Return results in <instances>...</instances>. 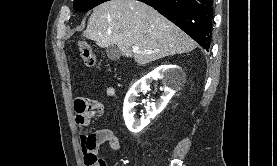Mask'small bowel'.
<instances>
[{"label":"small bowel","mask_w":277,"mask_h":166,"mask_svg":"<svg viewBox=\"0 0 277 166\" xmlns=\"http://www.w3.org/2000/svg\"><path fill=\"white\" fill-rule=\"evenodd\" d=\"M109 96H115L113 88L107 89ZM75 120L80 127H86L90 120V115L97 118L104 116V106L101 101L95 97H78L74 102ZM81 150L86 165L95 166L91 162L92 157H97V151L101 145L107 143L112 150L121 148L118 137L110 129H100L95 132L83 131L80 137Z\"/></svg>","instance_id":"obj_1"}]
</instances>
